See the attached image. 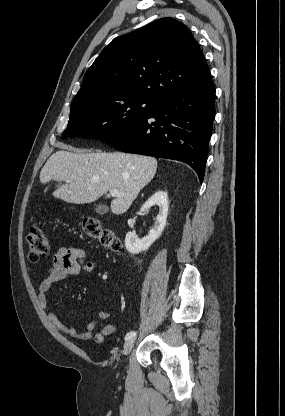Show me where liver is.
Here are the masks:
<instances>
[{
    "instance_id": "liver-1",
    "label": "liver",
    "mask_w": 285,
    "mask_h": 416,
    "mask_svg": "<svg viewBox=\"0 0 285 416\" xmlns=\"http://www.w3.org/2000/svg\"><path fill=\"white\" fill-rule=\"evenodd\" d=\"M55 152L47 160L39 176L41 184L50 180L65 182L57 186L53 196L69 204H91L117 190L111 202L113 214H124L137 198L140 190L153 180L157 170V160L137 154H88L87 150H76L57 142ZM69 150V152H64Z\"/></svg>"
}]
</instances>
